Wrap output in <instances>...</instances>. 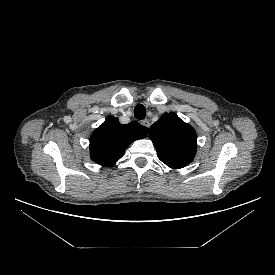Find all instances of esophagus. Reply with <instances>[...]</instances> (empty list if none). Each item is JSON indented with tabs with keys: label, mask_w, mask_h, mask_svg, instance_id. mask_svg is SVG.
<instances>
[{
	"label": "esophagus",
	"mask_w": 275,
	"mask_h": 275,
	"mask_svg": "<svg viewBox=\"0 0 275 275\" xmlns=\"http://www.w3.org/2000/svg\"><path fill=\"white\" fill-rule=\"evenodd\" d=\"M141 124L147 128H150V122L146 119V120H143L141 121Z\"/></svg>",
	"instance_id": "1"
}]
</instances>
